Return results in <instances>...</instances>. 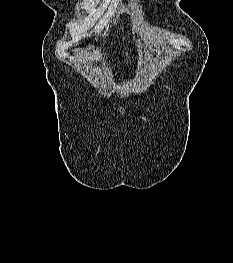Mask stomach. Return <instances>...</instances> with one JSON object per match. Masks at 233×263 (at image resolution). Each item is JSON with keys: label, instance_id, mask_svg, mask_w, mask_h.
I'll return each instance as SVG.
<instances>
[{"label": "stomach", "instance_id": "1", "mask_svg": "<svg viewBox=\"0 0 233 263\" xmlns=\"http://www.w3.org/2000/svg\"><path fill=\"white\" fill-rule=\"evenodd\" d=\"M126 81H133V78H126Z\"/></svg>", "mask_w": 233, "mask_h": 263}]
</instances>
